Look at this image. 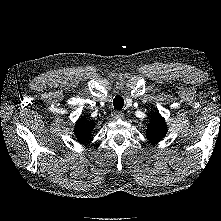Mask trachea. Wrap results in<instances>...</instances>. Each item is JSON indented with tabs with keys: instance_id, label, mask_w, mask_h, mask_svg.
<instances>
[{
	"instance_id": "3493384b",
	"label": "trachea",
	"mask_w": 221,
	"mask_h": 221,
	"mask_svg": "<svg viewBox=\"0 0 221 221\" xmlns=\"http://www.w3.org/2000/svg\"><path fill=\"white\" fill-rule=\"evenodd\" d=\"M114 109L121 110L124 106V99L121 96H116L113 100Z\"/></svg>"
}]
</instances>
